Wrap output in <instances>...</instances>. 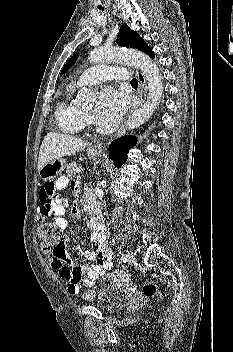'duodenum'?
I'll return each instance as SVG.
<instances>
[{
  "instance_id": "duodenum-1",
  "label": "duodenum",
  "mask_w": 233,
  "mask_h": 352,
  "mask_svg": "<svg viewBox=\"0 0 233 352\" xmlns=\"http://www.w3.org/2000/svg\"><path fill=\"white\" fill-rule=\"evenodd\" d=\"M89 215L92 220L96 219L99 215L98 206L93 200H91V202L89 204Z\"/></svg>"
}]
</instances>
